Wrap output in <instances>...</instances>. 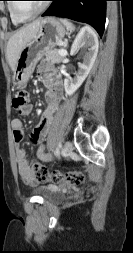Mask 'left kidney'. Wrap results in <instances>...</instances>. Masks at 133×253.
<instances>
[{"label":"left kidney","mask_w":133,"mask_h":253,"mask_svg":"<svg viewBox=\"0 0 133 253\" xmlns=\"http://www.w3.org/2000/svg\"><path fill=\"white\" fill-rule=\"evenodd\" d=\"M98 37L90 27H84L77 34L72 47L71 54H75L80 48H86L88 51L83 57V63L79 64V70L76 76L64 80V88L67 95H72L82 85L90 70L92 69L98 53Z\"/></svg>","instance_id":"5707ae66"}]
</instances>
